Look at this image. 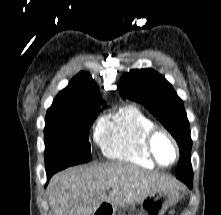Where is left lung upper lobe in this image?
Returning a JSON list of instances; mask_svg holds the SVG:
<instances>
[{
    "label": "left lung upper lobe",
    "mask_w": 221,
    "mask_h": 215,
    "mask_svg": "<svg viewBox=\"0 0 221 215\" xmlns=\"http://www.w3.org/2000/svg\"><path fill=\"white\" fill-rule=\"evenodd\" d=\"M118 89L122 98L137 101L148 108L172 134L180 149L175 175L180 180L193 181L189 122L183 101L171 84L152 69H140L124 74Z\"/></svg>",
    "instance_id": "1"
}]
</instances>
